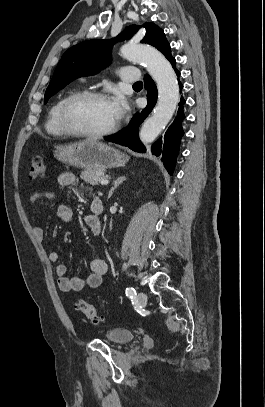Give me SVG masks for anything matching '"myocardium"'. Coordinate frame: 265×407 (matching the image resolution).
I'll return each mask as SVG.
<instances>
[{
  "instance_id": "myocardium-1",
  "label": "myocardium",
  "mask_w": 265,
  "mask_h": 407,
  "mask_svg": "<svg viewBox=\"0 0 265 407\" xmlns=\"http://www.w3.org/2000/svg\"><path fill=\"white\" fill-rule=\"evenodd\" d=\"M96 99L108 100V97L104 93L89 90L73 93L64 101L60 109L59 120L61 127L67 134L72 136L97 139L109 136L117 131L119 127L118 121H116L108 129L98 132L83 130L75 124L72 117V112L75 106L82 102Z\"/></svg>"
}]
</instances>
